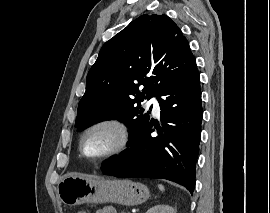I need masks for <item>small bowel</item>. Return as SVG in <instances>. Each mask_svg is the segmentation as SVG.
Instances as JSON below:
<instances>
[{
	"mask_svg": "<svg viewBox=\"0 0 270 213\" xmlns=\"http://www.w3.org/2000/svg\"><path fill=\"white\" fill-rule=\"evenodd\" d=\"M96 213H117V212L115 208L108 206L97 210Z\"/></svg>",
	"mask_w": 270,
	"mask_h": 213,
	"instance_id": "c3829d8e",
	"label": "small bowel"
}]
</instances>
